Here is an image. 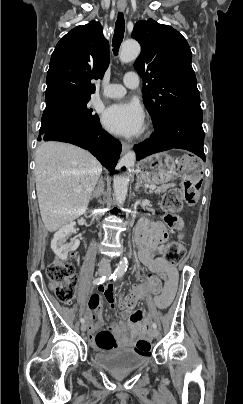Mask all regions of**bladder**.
I'll return each mask as SVG.
<instances>
[{"instance_id":"31cf9c89","label":"bladder","mask_w":243,"mask_h":404,"mask_svg":"<svg viewBox=\"0 0 243 404\" xmlns=\"http://www.w3.org/2000/svg\"><path fill=\"white\" fill-rule=\"evenodd\" d=\"M95 362L110 373L125 374L145 366L148 357L134 349L121 348L97 352Z\"/></svg>"}]
</instances>
